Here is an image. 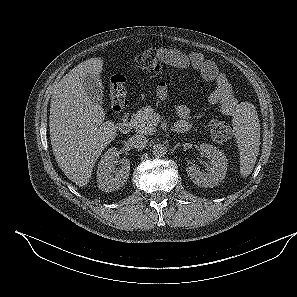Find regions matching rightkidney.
<instances>
[{
	"mask_svg": "<svg viewBox=\"0 0 297 297\" xmlns=\"http://www.w3.org/2000/svg\"><path fill=\"white\" fill-rule=\"evenodd\" d=\"M116 156L117 148H109L98 164V187L105 192L118 190L129 177L130 161L126 158L117 161ZM118 162L120 165L119 169L116 168Z\"/></svg>",
	"mask_w": 297,
	"mask_h": 297,
	"instance_id": "obj_1",
	"label": "right kidney"
}]
</instances>
